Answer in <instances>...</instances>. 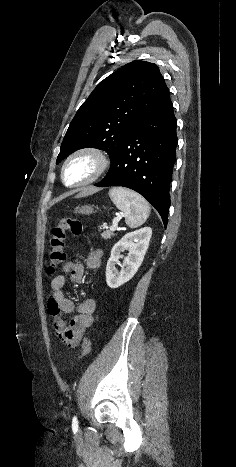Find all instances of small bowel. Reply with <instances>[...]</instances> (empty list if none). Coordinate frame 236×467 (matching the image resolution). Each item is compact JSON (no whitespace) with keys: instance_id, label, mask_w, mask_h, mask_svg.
Returning a JSON list of instances; mask_svg holds the SVG:
<instances>
[{"instance_id":"small-bowel-1","label":"small bowel","mask_w":236,"mask_h":467,"mask_svg":"<svg viewBox=\"0 0 236 467\" xmlns=\"http://www.w3.org/2000/svg\"><path fill=\"white\" fill-rule=\"evenodd\" d=\"M86 266L96 270L101 266V253L91 252L86 257ZM85 266L82 263L68 262L62 272L50 283V293L47 301L48 314L52 318V326L59 339L69 347H75L82 339L87 328L94 322L96 308L93 299H85L77 307L66 297L64 286L69 277L72 282L80 283L84 279ZM75 313L69 322L62 318L63 314Z\"/></svg>"}]
</instances>
